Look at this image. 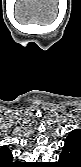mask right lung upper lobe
<instances>
[{
  "instance_id": "1",
  "label": "right lung upper lobe",
  "mask_w": 81,
  "mask_h": 167,
  "mask_svg": "<svg viewBox=\"0 0 81 167\" xmlns=\"http://www.w3.org/2000/svg\"><path fill=\"white\" fill-rule=\"evenodd\" d=\"M13 156L8 147H2L0 149V161L2 165L8 166L14 162H12Z\"/></svg>"
}]
</instances>
